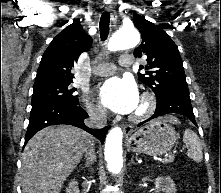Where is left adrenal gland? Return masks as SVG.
<instances>
[{
	"instance_id": "a2214340",
	"label": "left adrenal gland",
	"mask_w": 221,
	"mask_h": 193,
	"mask_svg": "<svg viewBox=\"0 0 221 193\" xmlns=\"http://www.w3.org/2000/svg\"><path fill=\"white\" fill-rule=\"evenodd\" d=\"M131 164L136 165V163L134 162V157H133V156H132V158H131V160H130V162H129V166H130Z\"/></svg>"
}]
</instances>
